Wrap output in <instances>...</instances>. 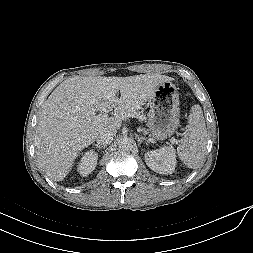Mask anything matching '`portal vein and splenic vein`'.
I'll use <instances>...</instances> for the list:
<instances>
[{
    "mask_svg": "<svg viewBox=\"0 0 253 253\" xmlns=\"http://www.w3.org/2000/svg\"><path fill=\"white\" fill-rule=\"evenodd\" d=\"M107 117H108V115L106 113L99 114V115L96 116V120L105 119ZM172 142L177 143L178 141L176 139L172 138Z\"/></svg>",
    "mask_w": 253,
    "mask_h": 253,
    "instance_id": "1",
    "label": "portal vein and splenic vein"
}]
</instances>
